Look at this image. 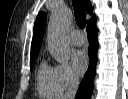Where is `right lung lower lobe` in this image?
I'll return each mask as SVG.
<instances>
[{"instance_id":"1","label":"right lung lower lobe","mask_w":128,"mask_h":99,"mask_svg":"<svg viewBox=\"0 0 128 99\" xmlns=\"http://www.w3.org/2000/svg\"><path fill=\"white\" fill-rule=\"evenodd\" d=\"M98 29L96 28V17H92L88 21L87 35L89 40V68L85 74V78L82 80L79 89L76 94V99H90L93 91V80L95 77V69L97 63V41Z\"/></svg>"}]
</instances>
